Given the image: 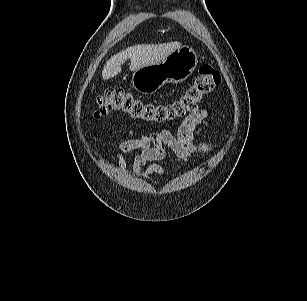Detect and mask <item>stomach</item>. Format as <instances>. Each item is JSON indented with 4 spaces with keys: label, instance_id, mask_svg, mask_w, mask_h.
I'll return each mask as SVG.
<instances>
[{
    "label": "stomach",
    "instance_id": "0dacf381",
    "mask_svg": "<svg viewBox=\"0 0 307 301\" xmlns=\"http://www.w3.org/2000/svg\"><path fill=\"white\" fill-rule=\"evenodd\" d=\"M197 64V53L190 47L182 46L161 62L136 70L131 81L138 92L153 94L166 83H181L186 80Z\"/></svg>",
    "mask_w": 307,
    "mask_h": 301
}]
</instances>
